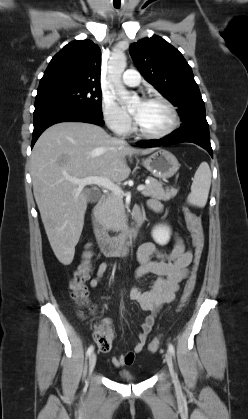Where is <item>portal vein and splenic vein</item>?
Segmentation results:
<instances>
[{
  "instance_id": "obj_1",
  "label": "portal vein and splenic vein",
  "mask_w": 248,
  "mask_h": 419,
  "mask_svg": "<svg viewBox=\"0 0 248 419\" xmlns=\"http://www.w3.org/2000/svg\"><path fill=\"white\" fill-rule=\"evenodd\" d=\"M72 182L75 184H78L79 186H85L87 184H96L99 186H103L104 188H107L108 190L112 191L115 195H122V189L116 185L111 180L104 178V177H86L83 179H72ZM145 186L143 184L139 185L137 187L138 191L144 190Z\"/></svg>"
}]
</instances>
